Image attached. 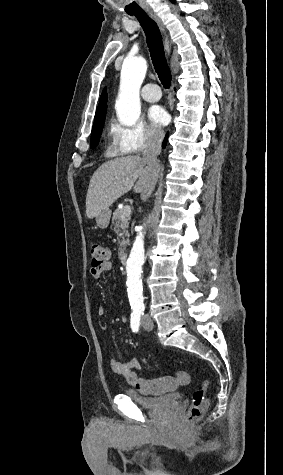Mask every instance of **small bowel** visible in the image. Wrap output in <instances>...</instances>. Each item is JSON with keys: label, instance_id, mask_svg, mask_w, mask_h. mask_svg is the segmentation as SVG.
<instances>
[{"label": "small bowel", "instance_id": "obj_1", "mask_svg": "<svg viewBox=\"0 0 283 475\" xmlns=\"http://www.w3.org/2000/svg\"><path fill=\"white\" fill-rule=\"evenodd\" d=\"M111 269H112V264L107 262L101 266H92L89 270V273L93 279H99L105 272H108ZM97 314L99 317L106 316L105 307L100 306L97 310ZM110 367H111V370L115 374L124 377V379L130 385L136 387L137 389L141 391L148 390V386H149L148 382L141 379L137 373V369L140 367V362L137 358H129L123 362L117 359H111ZM171 377H172L171 373H168L167 376H164L163 378L161 376H156L154 378V383L156 385H161L162 383L164 385H169L170 383L173 382V379ZM180 378L182 380H187L189 378V373L187 371H182L180 373ZM180 382L184 383L181 380Z\"/></svg>", "mask_w": 283, "mask_h": 475}]
</instances>
